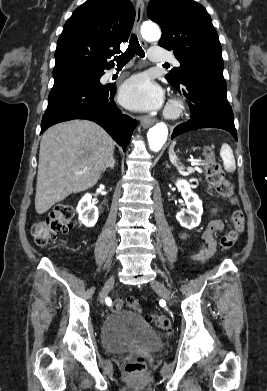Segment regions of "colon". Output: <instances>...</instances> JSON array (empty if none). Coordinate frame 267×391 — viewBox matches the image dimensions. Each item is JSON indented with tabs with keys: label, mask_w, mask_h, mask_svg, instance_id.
<instances>
[{
	"label": "colon",
	"mask_w": 267,
	"mask_h": 391,
	"mask_svg": "<svg viewBox=\"0 0 267 391\" xmlns=\"http://www.w3.org/2000/svg\"><path fill=\"white\" fill-rule=\"evenodd\" d=\"M205 156V175L207 182L215 189L217 194L223 198L229 199L232 203L236 202L234 187L223 174L220 164L215 160L211 147L204 151ZM75 207L71 204H57L45 218L39 219L32 226V235L36 244L42 246L55 240L60 232H68L74 227ZM233 228L223 235L220 239V248L224 251L231 249L245 228V216L241 210H236L232 214ZM129 307L135 311H140V302L138 298L129 296L127 298H117L113 301L112 309L120 310ZM147 321L156 327L167 332L171 329L169 317L163 314H152L147 317ZM146 369V359L141 355L132 356L125 370L132 375H139Z\"/></svg>",
	"instance_id": "5ec220e1"
}]
</instances>
